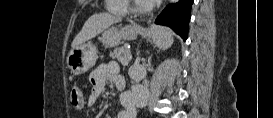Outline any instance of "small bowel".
<instances>
[{
    "instance_id": "c3829d8e",
    "label": "small bowel",
    "mask_w": 273,
    "mask_h": 118,
    "mask_svg": "<svg viewBox=\"0 0 273 118\" xmlns=\"http://www.w3.org/2000/svg\"><path fill=\"white\" fill-rule=\"evenodd\" d=\"M108 81H123L120 75L119 68L115 65H101L94 70L90 75L91 91L87 98L86 105L93 107L96 105L101 93L103 92ZM123 109L118 115V118H135L136 105L135 96L130 94L121 98Z\"/></svg>"
}]
</instances>
